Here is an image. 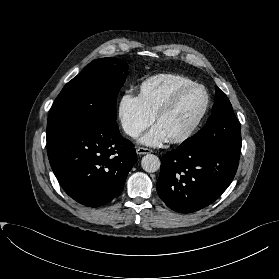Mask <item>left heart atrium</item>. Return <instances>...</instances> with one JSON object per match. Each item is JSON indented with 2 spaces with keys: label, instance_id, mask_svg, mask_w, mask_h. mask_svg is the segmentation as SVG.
<instances>
[{
  "label": "left heart atrium",
  "instance_id": "obj_1",
  "mask_svg": "<svg viewBox=\"0 0 279 279\" xmlns=\"http://www.w3.org/2000/svg\"><path fill=\"white\" fill-rule=\"evenodd\" d=\"M168 140L167 135L159 125H155L148 133L140 138L142 144L158 147Z\"/></svg>",
  "mask_w": 279,
  "mask_h": 279
}]
</instances>
